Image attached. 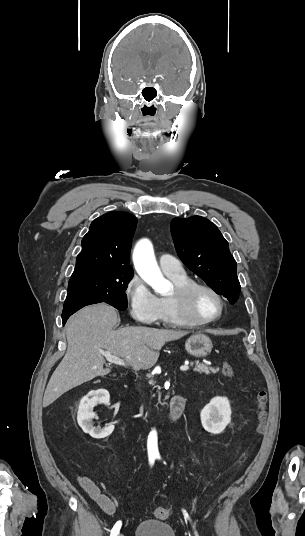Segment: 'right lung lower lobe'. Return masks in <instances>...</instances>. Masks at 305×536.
Masks as SVG:
<instances>
[{"instance_id":"right-lung-lower-lobe-1","label":"right lung lower lobe","mask_w":305,"mask_h":536,"mask_svg":"<svg viewBox=\"0 0 305 536\" xmlns=\"http://www.w3.org/2000/svg\"><path fill=\"white\" fill-rule=\"evenodd\" d=\"M82 307H76V308H68V309H64L63 312H62V320H63V325L66 323L67 319L73 314L75 313L76 311H78L79 309H81Z\"/></svg>"}]
</instances>
